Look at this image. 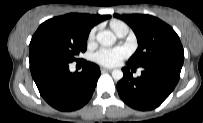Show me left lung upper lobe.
Instances as JSON below:
<instances>
[{
  "instance_id": "1",
  "label": "left lung upper lobe",
  "mask_w": 203,
  "mask_h": 123,
  "mask_svg": "<svg viewBox=\"0 0 203 123\" xmlns=\"http://www.w3.org/2000/svg\"><path fill=\"white\" fill-rule=\"evenodd\" d=\"M114 17L125 21L138 40L139 47L128 60V64L134 67L154 63L183 64L184 50L172 27L151 15L114 14Z\"/></svg>"
}]
</instances>
